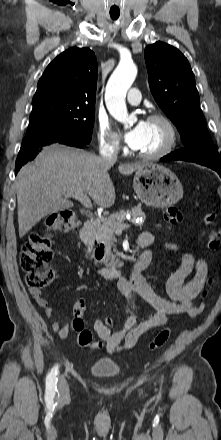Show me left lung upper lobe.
Instances as JSON below:
<instances>
[{
    "label": "left lung upper lobe",
    "instance_id": "obj_1",
    "mask_svg": "<svg viewBox=\"0 0 221 440\" xmlns=\"http://www.w3.org/2000/svg\"><path fill=\"white\" fill-rule=\"evenodd\" d=\"M150 91L175 124L185 148L173 153L185 161L221 168V160L199 106L195 77L187 58L173 46L156 42L146 47Z\"/></svg>",
    "mask_w": 221,
    "mask_h": 440
}]
</instances>
